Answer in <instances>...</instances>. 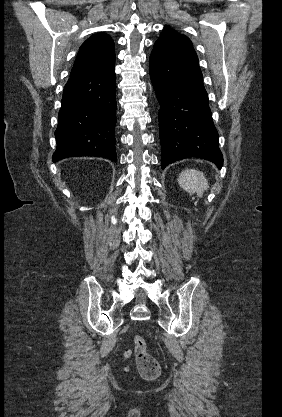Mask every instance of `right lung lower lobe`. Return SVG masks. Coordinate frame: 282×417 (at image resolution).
I'll return each instance as SVG.
<instances>
[{"mask_svg": "<svg viewBox=\"0 0 282 417\" xmlns=\"http://www.w3.org/2000/svg\"><path fill=\"white\" fill-rule=\"evenodd\" d=\"M114 63L70 76L55 131L57 148L53 162L75 156H98L117 161Z\"/></svg>", "mask_w": 282, "mask_h": 417, "instance_id": "1", "label": "right lung lower lobe"}]
</instances>
